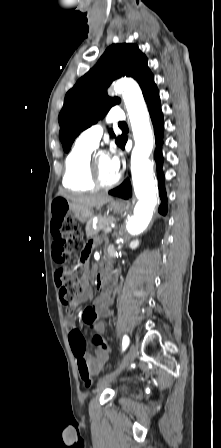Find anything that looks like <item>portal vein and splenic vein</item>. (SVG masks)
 <instances>
[{"label": "portal vein and splenic vein", "mask_w": 221, "mask_h": 448, "mask_svg": "<svg viewBox=\"0 0 221 448\" xmlns=\"http://www.w3.org/2000/svg\"><path fill=\"white\" fill-rule=\"evenodd\" d=\"M113 227H114V224H112V225H110V226H107V227H105L103 231H104L105 233H109V232H111V231H112V228H113Z\"/></svg>", "instance_id": "18ae733b"}]
</instances>
